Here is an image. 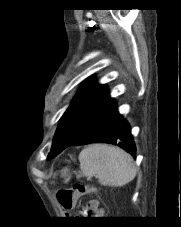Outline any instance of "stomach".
Returning <instances> with one entry per match:
<instances>
[{"label": "stomach", "instance_id": "stomach-1", "mask_svg": "<svg viewBox=\"0 0 181 227\" xmlns=\"http://www.w3.org/2000/svg\"><path fill=\"white\" fill-rule=\"evenodd\" d=\"M61 176L64 178V181L66 183H68L71 180L72 176L70 174V170L68 167L62 169Z\"/></svg>", "mask_w": 181, "mask_h": 227}]
</instances>
